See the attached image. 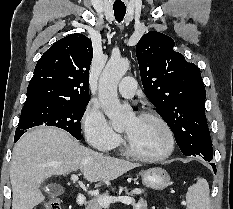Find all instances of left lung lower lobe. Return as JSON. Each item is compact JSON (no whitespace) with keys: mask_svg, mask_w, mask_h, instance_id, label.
Returning a JSON list of instances; mask_svg holds the SVG:
<instances>
[{"mask_svg":"<svg viewBox=\"0 0 233 209\" xmlns=\"http://www.w3.org/2000/svg\"><path fill=\"white\" fill-rule=\"evenodd\" d=\"M206 161H210L211 159H212V157H205L204 158ZM211 166L213 167V169H214V172L216 173V167H215V164H211Z\"/></svg>","mask_w":233,"mask_h":209,"instance_id":"0a47b994","label":"left lung lower lobe"}]
</instances>
